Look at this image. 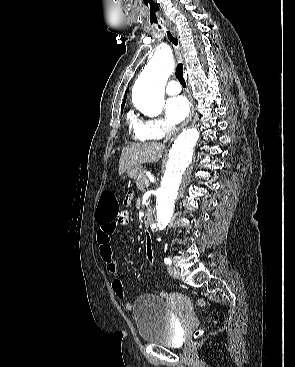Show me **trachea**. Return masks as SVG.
Here are the masks:
<instances>
[{
  "label": "trachea",
  "mask_w": 295,
  "mask_h": 367,
  "mask_svg": "<svg viewBox=\"0 0 295 367\" xmlns=\"http://www.w3.org/2000/svg\"><path fill=\"white\" fill-rule=\"evenodd\" d=\"M168 38L169 40L175 45H178V40L168 31L167 32ZM176 77L179 80V82L181 83V85L183 87H186V82L185 79L183 77V64L182 63H178L177 67H176V71H175Z\"/></svg>",
  "instance_id": "trachea-1"
}]
</instances>
